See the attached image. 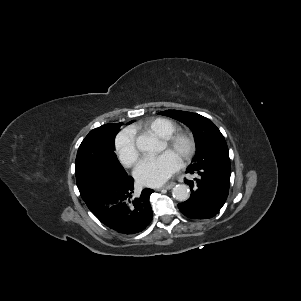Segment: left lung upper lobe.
Segmentation results:
<instances>
[{"instance_id":"1","label":"left lung upper lobe","mask_w":301,"mask_h":301,"mask_svg":"<svg viewBox=\"0 0 301 301\" xmlns=\"http://www.w3.org/2000/svg\"><path fill=\"white\" fill-rule=\"evenodd\" d=\"M159 114L179 120L192 130L196 143V153L187 169L206 167L231 171L225 139L208 118L179 110H166Z\"/></svg>"}]
</instances>
